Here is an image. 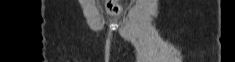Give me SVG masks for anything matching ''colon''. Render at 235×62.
<instances>
[{
    "label": "colon",
    "instance_id": "colon-1",
    "mask_svg": "<svg viewBox=\"0 0 235 62\" xmlns=\"http://www.w3.org/2000/svg\"><path fill=\"white\" fill-rule=\"evenodd\" d=\"M106 10L110 15H118L122 11L119 0H107Z\"/></svg>",
    "mask_w": 235,
    "mask_h": 62
}]
</instances>
